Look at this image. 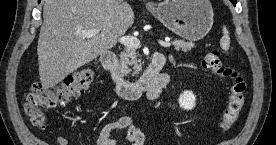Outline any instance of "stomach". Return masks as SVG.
Masks as SVG:
<instances>
[{
  "label": "stomach",
  "instance_id": "stomach-1",
  "mask_svg": "<svg viewBox=\"0 0 276 145\" xmlns=\"http://www.w3.org/2000/svg\"><path fill=\"white\" fill-rule=\"evenodd\" d=\"M148 9L165 27L189 41L205 37L214 22L209 0H164Z\"/></svg>",
  "mask_w": 276,
  "mask_h": 145
}]
</instances>
